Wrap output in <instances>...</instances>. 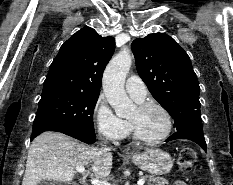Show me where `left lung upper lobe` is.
<instances>
[{"instance_id": "obj_1", "label": "left lung upper lobe", "mask_w": 233, "mask_h": 185, "mask_svg": "<svg viewBox=\"0 0 233 185\" xmlns=\"http://www.w3.org/2000/svg\"><path fill=\"white\" fill-rule=\"evenodd\" d=\"M138 74L172 116L177 131L201 124L197 76L189 56L170 36L149 34L132 42Z\"/></svg>"}]
</instances>
